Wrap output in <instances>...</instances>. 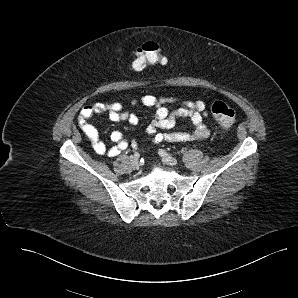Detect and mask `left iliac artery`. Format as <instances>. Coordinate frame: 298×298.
Segmentation results:
<instances>
[{"label": "left iliac artery", "instance_id": "obj_1", "mask_svg": "<svg viewBox=\"0 0 298 298\" xmlns=\"http://www.w3.org/2000/svg\"><path fill=\"white\" fill-rule=\"evenodd\" d=\"M159 155H161L162 157H171L172 155L167 153L165 150L163 149H159L158 150Z\"/></svg>", "mask_w": 298, "mask_h": 298}]
</instances>
